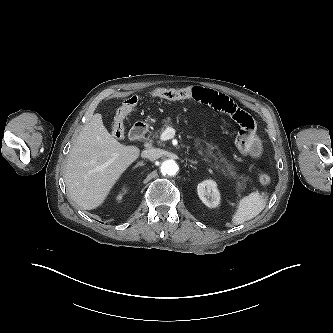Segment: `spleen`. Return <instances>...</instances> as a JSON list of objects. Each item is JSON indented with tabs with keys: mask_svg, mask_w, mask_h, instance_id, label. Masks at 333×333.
<instances>
[{
	"mask_svg": "<svg viewBox=\"0 0 333 333\" xmlns=\"http://www.w3.org/2000/svg\"><path fill=\"white\" fill-rule=\"evenodd\" d=\"M266 206V197L253 192L246 197H243L238 204V208L232 217L234 225L243 224L245 221L256 217Z\"/></svg>",
	"mask_w": 333,
	"mask_h": 333,
	"instance_id": "1",
	"label": "spleen"
}]
</instances>
